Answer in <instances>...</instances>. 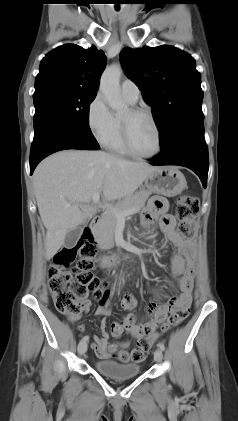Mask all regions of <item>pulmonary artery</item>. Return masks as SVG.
<instances>
[{"mask_svg":"<svg viewBox=\"0 0 238 421\" xmlns=\"http://www.w3.org/2000/svg\"><path fill=\"white\" fill-rule=\"evenodd\" d=\"M121 94L122 96L131 104H134L138 101L139 98V88L131 80L126 79L121 83Z\"/></svg>","mask_w":238,"mask_h":421,"instance_id":"pulmonary-artery-1","label":"pulmonary artery"}]
</instances>
